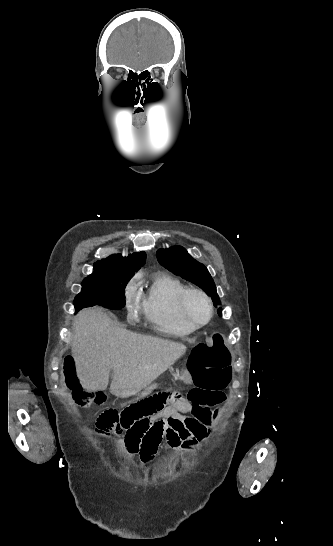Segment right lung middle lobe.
Listing matches in <instances>:
<instances>
[{
    "label": "right lung middle lobe",
    "mask_w": 333,
    "mask_h": 546,
    "mask_svg": "<svg viewBox=\"0 0 333 546\" xmlns=\"http://www.w3.org/2000/svg\"><path fill=\"white\" fill-rule=\"evenodd\" d=\"M135 272L113 269H94L82 282V290L75 297L76 312L85 307L102 305L121 309L125 305V287Z\"/></svg>",
    "instance_id": "obj_1"
}]
</instances>
